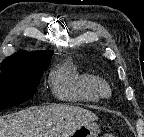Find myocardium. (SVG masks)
<instances>
[{"mask_svg": "<svg viewBox=\"0 0 144 137\" xmlns=\"http://www.w3.org/2000/svg\"><path fill=\"white\" fill-rule=\"evenodd\" d=\"M96 90L101 97H108L111 93L109 85L101 79H98L96 82Z\"/></svg>", "mask_w": 144, "mask_h": 137, "instance_id": "myocardium-1", "label": "myocardium"}]
</instances>
